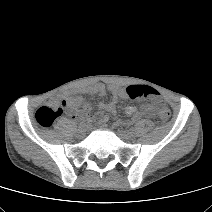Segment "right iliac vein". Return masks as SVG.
<instances>
[{"instance_id":"63e3f726","label":"right iliac vein","mask_w":212,"mask_h":212,"mask_svg":"<svg viewBox=\"0 0 212 212\" xmlns=\"http://www.w3.org/2000/svg\"><path fill=\"white\" fill-rule=\"evenodd\" d=\"M76 135H77V137L82 138L85 135V128H79V129H77Z\"/></svg>"}]
</instances>
